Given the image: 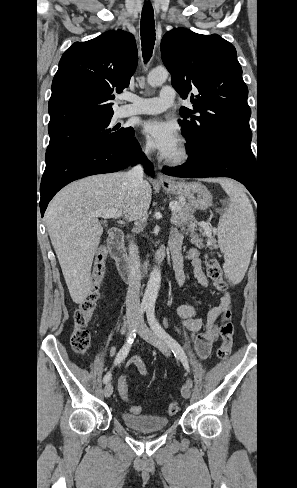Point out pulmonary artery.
Listing matches in <instances>:
<instances>
[{
  "mask_svg": "<svg viewBox=\"0 0 297 488\" xmlns=\"http://www.w3.org/2000/svg\"><path fill=\"white\" fill-rule=\"evenodd\" d=\"M131 102L130 105L120 109V116H131L137 114H158L165 111L175 100V90L170 86L161 89L160 95L154 98H142L136 95L125 96Z\"/></svg>",
  "mask_w": 297,
  "mask_h": 488,
  "instance_id": "1",
  "label": "pulmonary artery"
}]
</instances>
